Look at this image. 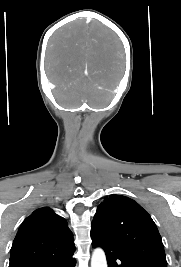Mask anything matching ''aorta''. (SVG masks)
<instances>
[{
	"instance_id": "1",
	"label": "aorta",
	"mask_w": 181,
	"mask_h": 267,
	"mask_svg": "<svg viewBox=\"0 0 181 267\" xmlns=\"http://www.w3.org/2000/svg\"><path fill=\"white\" fill-rule=\"evenodd\" d=\"M91 267H107L106 256L101 248L94 249L91 257Z\"/></svg>"
}]
</instances>
